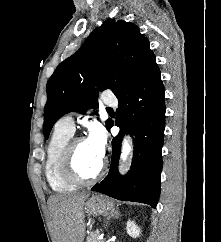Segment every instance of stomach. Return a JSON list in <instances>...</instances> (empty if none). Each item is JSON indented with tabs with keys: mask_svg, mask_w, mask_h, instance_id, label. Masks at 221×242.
<instances>
[{
	"mask_svg": "<svg viewBox=\"0 0 221 242\" xmlns=\"http://www.w3.org/2000/svg\"><path fill=\"white\" fill-rule=\"evenodd\" d=\"M85 211L92 215H104L114 211V203L101 195H93L86 201Z\"/></svg>",
	"mask_w": 221,
	"mask_h": 242,
	"instance_id": "stomach-1",
	"label": "stomach"
}]
</instances>
